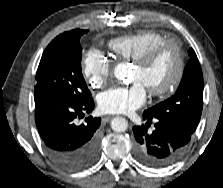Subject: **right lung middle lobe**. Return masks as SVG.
Segmentation results:
<instances>
[{
	"mask_svg": "<svg viewBox=\"0 0 223 188\" xmlns=\"http://www.w3.org/2000/svg\"><path fill=\"white\" fill-rule=\"evenodd\" d=\"M87 31L64 32L46 47L36 73L35 94H51L77 102L92 98L81 71L80 38Z\"/></svg>",
	"mask_w": 223,
	"mask_h": 188,
	"instance_id": "dd1d6c3e",
	"label": "right lung middle lobe"
}]
</instances>
